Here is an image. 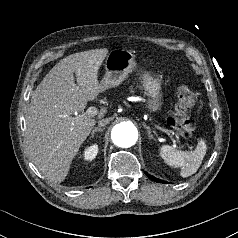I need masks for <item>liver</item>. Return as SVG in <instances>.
I'll return each instance as SVG.
<instances>
[{
  "instance_id": "1",
  "label": "liver",
  "mask_w": 238,
  "mask_h": 238,
  "mask_svg": "<svg viewBox=\"0 0 238 238\" xmlns=\"http://www.w3.org/2000/svg\"><path fill=\"white\" fill-rule=\"evenodd\" d=\"M107 54L108 49L103 48L67 56L49 71L31 96L26 145L35 166L52 182L66 178L72 160L96 123L93 116L71 115L82 112L88 101L104 91L98 71ZM106 112L102 108L97 118Z\"/></svg>"
}]
</instances>
